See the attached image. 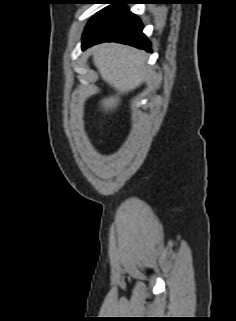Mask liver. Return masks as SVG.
Segmentation results:
<instances>
[{
  "mask_svg": "<svg viewBox=\"0 0 236 321\" xmlns=\"http://www.w3.org/2000/svg\"><path fill=\"white\" fill-rule=\"evenodd\" d=\"M93 61L102 79L118 91L128 93L139 87L145 78L147 66L145 53L130 46L104 43L91 49ZM120 103L119 96L102 100L106 112Z\"/></svg>",
  "mask_w": 236,
  "mask_h": 321,
  "instance_id": "6515ba94",
  "label": "liver"
}]
</instances>
